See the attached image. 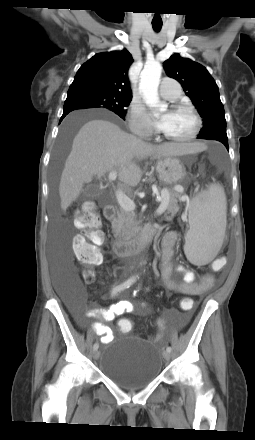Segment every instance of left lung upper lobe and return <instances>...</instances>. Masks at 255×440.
<instances>
[{
  "instance_id": "obj_1",
  "label": "left lung upper lobe",
  "mask_w": 255,
  "mask_h": 440,
  "mask_svg": "<svg viewBox=\"0 0 255 440\" xmlns=\"http://www.w3.org/2000/svg\"><path fill=\"white\" fill-rule=\"evenodd\" d=\"M167 75L176 79L203 118V128L198 138L228 140L223 104L219 89L207 69L201 64L179 54L164 62Z\"/></svg>"
}]
</instances>
